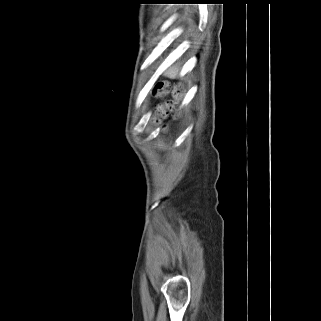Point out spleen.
<instances>
[{
    "label": "spleen",
    "instance_id": "1",
    "mask_svg": "<svg viewBox=\"0 0 321 321\" xmlns=\"http://www.w3.org/2000/svg\"><path fill=\"white\" fill-rule=\"evenodd\" d=\"M179 74V69L176 66L170 67L166 72H165V76L169 77V78H176L178 77Z\"/></svg>",
    "mask_w": 321,
    "mask_h": 321
}]
</instances>
